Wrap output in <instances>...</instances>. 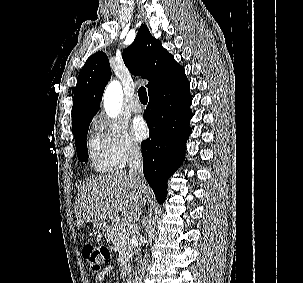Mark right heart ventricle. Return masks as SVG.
Instances as JSON below:
<instances>
[{
  "mask_svg": "<svg viewBox=\"0 0 303 283\" xmlns=\"http://www.w3.org/2000/svg\"><path fill=\"white\" fill-rule=\"evenodd\" d=\"M89 152L92 166L95 170L104 172L110 171L115 167L93 141L89 144Z\"/></svg>",
  "mask_w": 303,
  "mask_h": 283,
  "instance_id": "obj_1",
  "label": "right heart ventricle"
}]
</instances>
